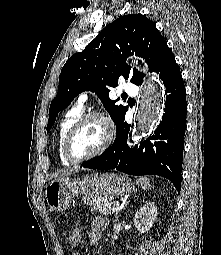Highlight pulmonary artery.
<instances>
[{
	"label": "pulmonary artery",
	"mask_w": 221,
	"mask_h": 255,
	"mask_svg": "<svg viewBox=\"0 0 221 255\" xmlns=\"http://www.w3.org/2000/svg\"><path fill=\"white\" fill-rule=\"evenodd\" d=\"M123 91L128 95H136L138 93L137 86L130 81H126L122 84ZM88 99V93L82 92L78 95L77 105L83 107Z\"/></svg>",
	"instance_id": "obj_1"
}]
</instances>
